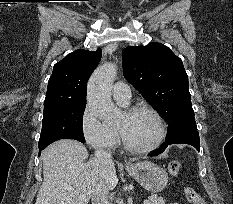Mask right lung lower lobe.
Masks as SVG:
<instances>
[{"mask_svg":"<svg viewBox=\"0 0 233 204\" xmlns=\"http://www.w3.org/2000/svg\"><path fill=\"white\" fill-rule=\"evenodd\" d=\"M81 142V141H80ZM82 143H84V142H82ZM44 148H46V147H42V148H39V150L41 151V150H43ZM40 155V154H39Z\"/></svg>","mask_w":233,"mask_h":204,"instance_id":"obj_1","label":"right lung lower lobe"}]
</instances>
